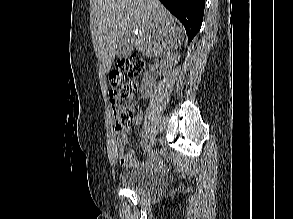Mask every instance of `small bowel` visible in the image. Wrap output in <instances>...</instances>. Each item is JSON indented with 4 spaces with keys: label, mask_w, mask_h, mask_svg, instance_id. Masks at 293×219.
<instances>
[{
    "label": "small bowel",
    "mask_w": 293,
    "mask_h": 219,
    "mask_svg": "<svg viewBox=\"0 0 293 219\" xmlns=\"http://www.w3.org/2000/svg\"><path fill=\"white\" fill-rule=\"evenodd\" d=\"M142 118L141 113L136 116L135 123H139ZM117 131V146H118V156L120 164L123 167H133L138 166L139 163L136 159L135 153L133 151H127L126 145L128 143V129L120 130L116 127Z\"/></svg>",
    "instance_id": "c3829d8e"
}]
</instances>
